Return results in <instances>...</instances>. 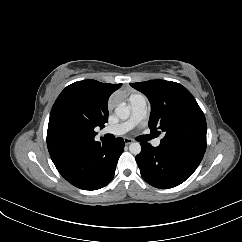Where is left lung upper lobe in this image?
<instances>
[{
    "label": "left lung upper lobe",
    "instance_id": "left-lung-upper-lobe-1",
    "mask_svg": "<svg viewBox=\"0 0 242 242\" xmlns=\"http://www.w3.org/2000/svg\"><path fill=\"white\" fill-rule=\"evenodd\" d=\"M151 103L148 126L165 136L160 144L205 153L206 120L193 95L181 84L165 80L131 83Z\"/></svg>",
    "mask_w": 242,
    "mask_h": 242
}]
</instances>
